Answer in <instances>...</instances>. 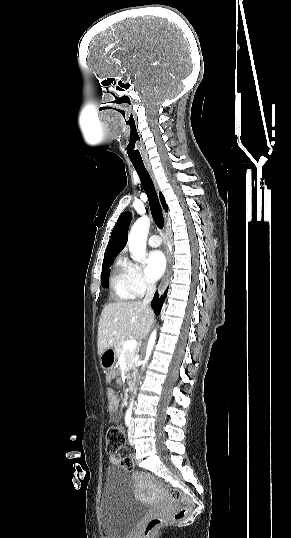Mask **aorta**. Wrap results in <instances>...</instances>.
<instances>
[{
    "mask_svg": "<svg viewBox=\"0 0 291 538\" xmlns=\"http://www.w3.org/2000/svg\"><path fill=\"white\" fill-rule=\"evenodd\" d=\"M149 226H150V222L147 218H144V217L139 218L134 223L132 230L129 234V237H128L129 249H130V252L132 253L133 259L136 261H141L145 256L146 238H147ZM155 341H156V330L152 332L148 340L146 355H145L144 360L141 362L142 368H144L147 361L149 360ZM133 403H134V399H132L130 402V405L128 407V412H132Z\"/></svg>",
    "mask_w": 291,
    "mask_h": 538,
    "instance_id": "1",
    "label": "aorta"
}]
</instances>
